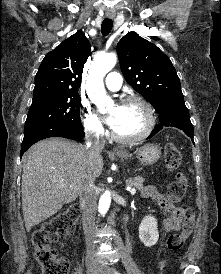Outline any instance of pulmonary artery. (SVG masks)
Here are the masks:
<instances>
[{"label": "pulmonary artery", "instance_id": "e3ab8cb5", "mask_svg": "<svg viewBox=\"0 0 221 274\" xmlns=\"http://www.w3.org/2000/svg\"><path fill=\"white\" fill-rule=\"evenodd\" d=\"M105 84L109 90L117 91L121 87L122 78L119 73L111 72L106 76Z\"/></svg>", "mask_w": 221, "mask_h": 274}]
</instances>
